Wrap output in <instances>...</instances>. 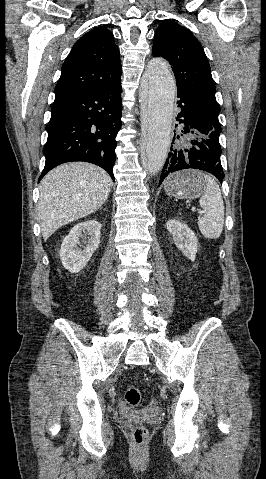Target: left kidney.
Wrapping results in <instances>:
<instances>
[{"instance_id": "5707ae66", "label": "left kidney", "mask_w": 266, "mask_h": 479, "mask_svg": "<svg viewBox=\"0 0 266 479\" xmlns=\"http://www.w3.org/2000/svg\"><path fill=\"white\" fill-rule=\"evenodd\" d=\"M166 227L184 256L190 260H195L198 240L194 232L186 224L176 219L169 220Z\"/></svg>"}]
</instances>
